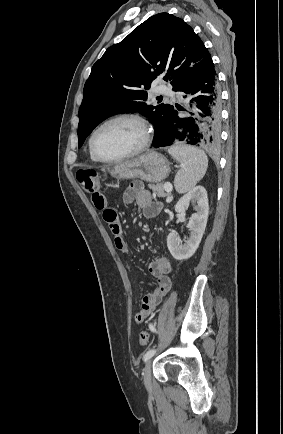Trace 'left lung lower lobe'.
<instances>
[{
	"label": "left lung lower lobe",
	"mask_w": 283,
	"mask_h": 434,
	"mask_svg": "<svg viewBox=\"0 0 283 434\" xmlns=\"http://www.w3.org/2000/svg\"><path fill=\"white\" fill-rule=\"evenodd\" d=\"M174 91L183 92V98H191L193 112H189L190 117H182L174 110L167 128L154 142L155 148L169 146L179 139L216 150L220 144L221 94L212 59Z\"/></svg>",
	"instance_id": "1"
}]
</instances>
